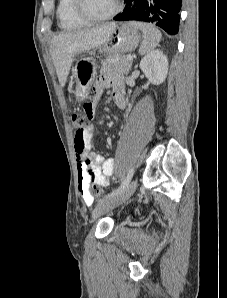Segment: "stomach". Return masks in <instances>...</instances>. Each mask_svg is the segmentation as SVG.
Returning a JSON list of instances; mask_svg holds the SVG:
<instances>
[{
	"label": "stomach",
	"mask_w": 227,
	"mask_h": 298,
	"mask_svg": "<svg viewBox=\"0 0 227 298\" xmlns=\"http://www.w3.org/2000/svg\"><path fill=\"white\" fill-rule=\"evenodd\" d=\"M141 40V33L131 23H119L115 25L109 39L89 52L81 56L72 68L71 78L76 82L74 90L78 102L85 101L89 97L91 85L97 74L98 65L94 55L96 52L107 55H122L134 51Z\"/></svg>",
	"instance_id": "0dacf381"
}]
</instances>
